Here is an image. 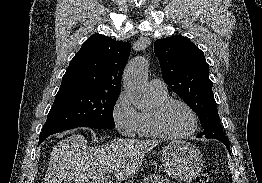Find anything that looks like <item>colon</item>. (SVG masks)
Segmentation results:
<instances>
[{
    "label": "colon",
    "mask_w": 262,
    "mask_h": 183,
    "mask_svg": "<svg viewBox=\"0 0 262 183\" xmlns=\"http://www.w3.org/2000/svg\"><path fill=\"white\" fill-rule=\"evenodd\" d=\"M196 183H211V174L208 171L201 172L196 179Z\"/></svg>",
    "instance_id": "colon-1"
}]
</instances>
